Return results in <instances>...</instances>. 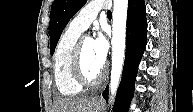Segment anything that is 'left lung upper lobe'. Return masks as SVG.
Listing matches in <instances>:
<instances>
[{"label":"left lung upper lobe","mask_w":193,"mask_h":112,"mask_svg":"<svg viewBox=\"0 0 193 112\" xmlns=\"http://www.w3.org/2000/svg\"><path fill=\"white\" fill-rule=\"evenodd\" d=\"M85 3L86 0H55L53 2L49 23L51 55L54 53L57 42L66 24Z\"/></svg>","instance_id":"5c2ea615"}]
</instances>
